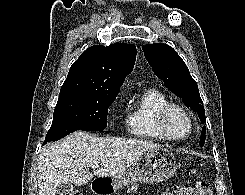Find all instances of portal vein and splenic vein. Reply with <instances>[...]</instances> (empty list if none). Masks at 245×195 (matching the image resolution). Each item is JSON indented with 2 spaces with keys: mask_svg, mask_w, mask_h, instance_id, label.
<instances>
[{
  "mask_svg": "<svg viewBox=\"0 0 245 195\" xmlns=\"http://www.w3.org/2000/svg\"><path fill=\"white\" fill-rule=\"evenodd\" d=\"M99 167V165H92L91 166V168H93V169H96V168H98Z\"/></svg>",
  "mask_w": 245,
  "mask_h": 195,
  "instance_id": "18ae733b",
  "label": "portal vein and splenic vein"
}]
</instances>
